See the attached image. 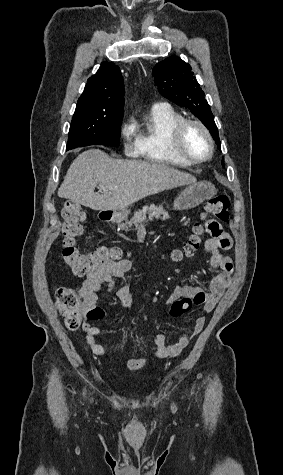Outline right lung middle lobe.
<instances>
[{
	"label": "right lung middle lobe",
	"instance_id": "obj_1",
	"mask_svg": "<svg viewBox=\"0 0 283 475\" xmlns=\"http://www.w3.org/2000/svg\"><path fill=\"white\" fill-rule=\"evenodd\" d=\"M123 105L77 103L66 150L88 145L118 146Z\"/></svg>",
	"mask_w": 283,
	"mask_h": 475
}]
</instances>
